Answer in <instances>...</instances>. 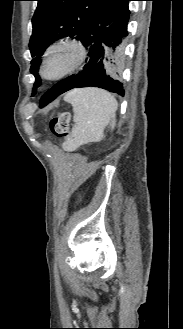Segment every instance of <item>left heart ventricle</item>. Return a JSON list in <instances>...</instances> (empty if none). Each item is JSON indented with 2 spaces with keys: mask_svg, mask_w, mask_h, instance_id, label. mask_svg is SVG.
<instances>
[{
  "mask_svg": "<svg viewBox=\"0 0 183 329\" xmlns=\"http://www.w3.org/2000/svg\"><path fill=\"white\" fill-rule=\"evenodd\" d=\"M78 52L71 46H61L49 56L44 72L47 76H55L69 69L77 60Z\"/></svg>",
  "mask_w": 183,
  "mask_h": 329,
  "instance_id": "obj_1",
  "label": "left heart ventricle"
}]
</instances>
